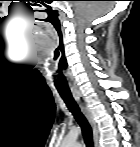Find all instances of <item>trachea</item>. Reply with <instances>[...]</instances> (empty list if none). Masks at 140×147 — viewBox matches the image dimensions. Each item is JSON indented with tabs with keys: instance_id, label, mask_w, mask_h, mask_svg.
<instances>
[{
	"instance_id": "1",
	"label": "trachea",
	"mask_w": 140,
	"mask_h": 147,
	"mask_svg": "<svg viewBox=\"0 0 140 147\" xmlns=\"http://www.w3.org/2000/svg\"><path fill=\"white\" fill-rule=\"evenodd\" d=\"M60 96L64 100L69 111L73 114L74 118L77 120L78 124L80 125L86 147H94L92 128L88 120L86 119L82 111L80 110L74 97L70 93H62V92H60Z\"/></svg>"
}]
</instances>
